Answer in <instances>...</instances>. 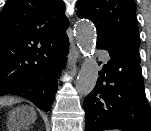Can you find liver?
<instances>
[{"mask_svg": "<svg viewBox=\"0 0 151 131\" xmlns=\"http://www.w3.org/2000/svg\"><path fill=\"white\" fill-rule=\"evenodd\" d=\"M36 119L35 113L33 114L32 120L34 121Z\"/></svg>", "mask_w": 151, "mask_h": 131, "instance_id": "1", "label": "liver"}]
</instances>
